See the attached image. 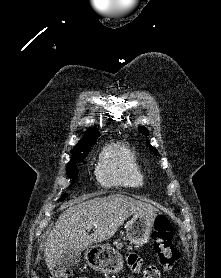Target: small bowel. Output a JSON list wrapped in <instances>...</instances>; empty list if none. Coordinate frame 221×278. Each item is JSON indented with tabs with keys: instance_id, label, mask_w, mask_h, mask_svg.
Returning a JSON list of instances; mask_svg holds the SVG:
<instances>
[{
	"instance_id": "obj_1",
	"label": "small bowel",
	"mask_w": 221,
	"mask_h": 278,
	"mask_svg": "<svg viewBox=\"0 0 221 278\" xmlns=\"http://www.w3.org/2000/svg\"><path fill=\"white\" fill-rule=\"evenodd\" d=\"M127 263L131 270L134 272H142L143 278H149L146 274L147 268H142L140 259L135 254L127 255ZM122 278H130L128 276H123Z\"/></svg>"
}]
</instances>
